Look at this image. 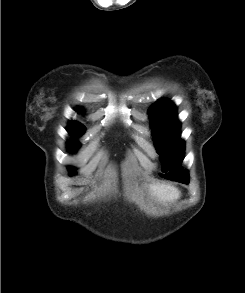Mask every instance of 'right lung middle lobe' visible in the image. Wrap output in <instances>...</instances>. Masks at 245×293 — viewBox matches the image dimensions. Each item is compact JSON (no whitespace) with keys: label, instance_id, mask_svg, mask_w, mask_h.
Returning a JSON list of instances; mask_svg holds the SVG:
<instances>
[{"label":"right lung middle lobe","instance_id":"1","mask_svg":"<svg viewBox=\"0 0 245 293\" xmlns=\"http://www.w3.org/2000/svg\"><path fill=\"white\" fill-rule=\"evenodd\" d=\"M84 130L85 129H68V133L71 136L77 137L82 135L84 133ZM78 146H79V143L75 140H72L69 144V150L74 151ZM70 170H71L70 174H73L74 173L73 169L70 168Z\"/></svg>","mask_w":245,"mask_h":293}]
</instances>
